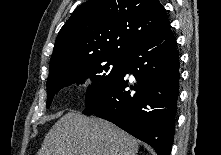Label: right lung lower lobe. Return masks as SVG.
<instances>
[{
	"label": "right lung lower lobe",
	"mask_w": 221,
	"mask_h": 155,
	"mask_svg": "<svg viewBox=\"0 0 221 155\" xmlns=\"http://www.w3.org/2000/svg\"><path fill=\"white\" fill-rule=\"evenodd\" d=\"M179 52L170 26L141 39L128 53L117 78L86 104L83 113L104 118L169 155L179 90ZM130 73L135 83L126 75Z\"/></svg>",
	"instance_id": "obj_1"
}]
</instances>
